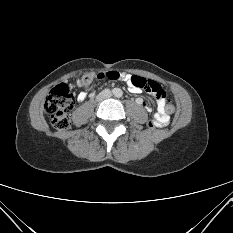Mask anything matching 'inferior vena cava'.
<instances>
[{"instance_id": "obj_1", "label": "inferior vena cava", "mask_w": 233, "mask_h": 233, "mask_svg": "<svg viewBox=\"0 0 233 233\" xmlns=\"http://www.w3.org/2000/svg\"><path fill=\"white\" fill-rule=\"evenodd\" d=\"M110 95H111V92L109 90H103L101 93H99L98 99L104 100V99L110 97Z\"/></svg>"}]
</instances>
